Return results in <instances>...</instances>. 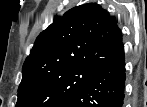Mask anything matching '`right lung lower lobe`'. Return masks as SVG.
Listing matches in <instances>:
<instances>
[{
	"label": "right lung lower lobe",
	"instance_id": "98d812e1",
	"mask_svg": "<svg viewBox=\"0 0 147 107\" xmlns=\"http://www.w3.org/2000/svg\"><path fill=\"white\" fill-rule=\"evenodd\" d=\"M125 79L122 46L98 68L88 83L61 107H123Z\"/></svg>",
	"mask_w": 147,
	"mask_h": 107
}]
</instances>
